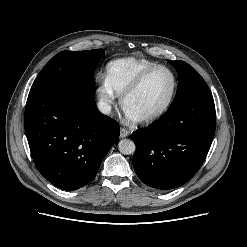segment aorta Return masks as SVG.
Here are the masks:
<instances>
[{"instance_id":"aorta-1","label":"aorta","mask_w":247,"mask_h":247,"mask_svg":"<svg viewBox=\"0 0 247 247\" xmlns=\"http://www.w3.org/2000/svg\"><path fill=\"white\" fill-rule=\"evenodd\" d=\"M119 151L124 155L133 154L136 150L135 143L130 139H122L118 143Z\"/></svg>"}]
</instances>
